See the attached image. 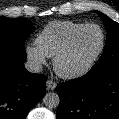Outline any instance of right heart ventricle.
<instances>
[{"label":"right heart ventricle","instance_id":"1","mask_svg":"<svg viewBox=\"0 0 119 119\" xmlns=\"http://www.w3.org/2000/svg\"><path fill=\"white\" fill-rule=\"evenodd\" d=\"M84 25L74 21L50 22L36 38V45L46 57H55L71 35Z\"/></svg>","mask_w":119,"mask_h":119}]
</instances>
